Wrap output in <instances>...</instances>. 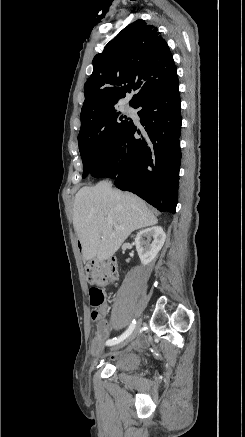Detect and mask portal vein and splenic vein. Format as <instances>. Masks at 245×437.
<instances>
[{
    "label": "portal vein and splenic vein",
    "mask_w": 245,
    "mask_h": 437,
    "mask_svg": "<svg viewBox=\"0 0 245 437\" xmlns=\"http://www.w3.org/2000/svg\"><path fill=\"white\" fill-rule=\"evenodd\" d=\"M106 221H107V223H109V224H113V221H112L110 218H107Z\"/></svg>",
    "instance_id": "obj_1"
}]
</instances>
